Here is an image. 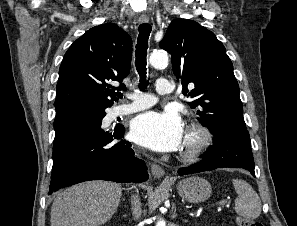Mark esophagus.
<instances>
[{
	"mask_svg": "<svg viewBox=\"0 0 297 226\" xmlns=\"http://www.w3.org/2000/svg\"><path fill=\"white\" fill-rule=\"evenodd\" d=\"M149 19L147 17H140L139 18V23L143 24V23H148ZM150 169H151V173L155 178L161 179L164 177V170L162 169L161 166L151 163L150 164Z\"/></svg>",
	"mask_w": 297,
	"mask_h": 226,
	"instance_id": "obj_1",
	"label": "esophagus"
}]
</instances>
